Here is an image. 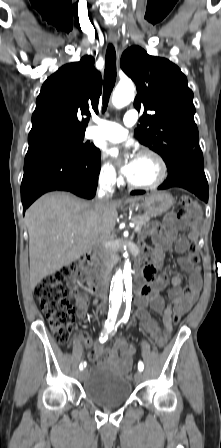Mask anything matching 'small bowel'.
Here are the masks:
<instances>
[{
    "mask_svg": "<svg viewBox=\"0 0 221 448\" xmlns=\"http://www.w3.org/2000/svg\"><path fill=\"white\" fill-rule=\"evenodd\" d=\"M178 217L174 213H169L163 222L155 227L151 237L152 246L144 245L145 263L142 268L141 282L137 288L136 307L137 317L140 319L143 329L149 333L153 341L164 347L172 333L173 316L180 318L185 315L193 306L202 288L201 270L198 265H193L184 256L189 244L197 237L196 223L187 227L188 235L177 237L179 231ZM174 247L179 254L177 264L189 274L188 285L185 289L181 287L182 277L175 275L171 282L173 288L169 291L170 304H165L160 290L168 283L165 275H156V269L160 267L164 251ZM76 304V315L78 318H86L89 312V297L87 295H74ZM161 316L163 328L151 317L147 308ZM136 348L126 342L124 338H119L113 346L105 351L98 347L91 354L93 361L106 360L113 368L122 374H127L133 364Z\"/></svg>",
    "mask_w": 221,
    "mask_h": 448,
    "instance_id": "c3829d8e",
    "label": "small bowel"
}]
</instances>
